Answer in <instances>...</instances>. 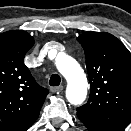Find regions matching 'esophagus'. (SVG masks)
Masks as SVG:
<instances>
[{"label": "esophagus", "instance_id": "obj_1", "mask_svg": "<svg viewBox=\"0 0 131 131\" xmlns=\"http://www.w3.org/2000/svg\"><path fill=\"white\" fill-rule=\"evenodd\" d=\"M62 90H63L62 85L51 88V92H53V93H60Z\"/></svg>", "mask_w": 131, "mask_h": 131}]
</instances>
